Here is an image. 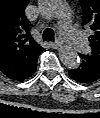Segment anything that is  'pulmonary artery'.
<instances>
[{
	"label": "pulmonary artery",
	"mask_w": 100,
	"mask_h": 118,
	"mask_svg": "<svg viewBox=\"0 0 100 118\" xmlns=\"http://www.w3.org/2000/svg\"><path fill=\"white\" fill-rule=\"evenodd\" d=\"M58 29L62 38L68 41L76 51L85 52L87 50V42L82 34L71 24L68 11L62 13Z\"/></svg>",
	"instance_id": "e3ab8cb5"
}]
</instances>
